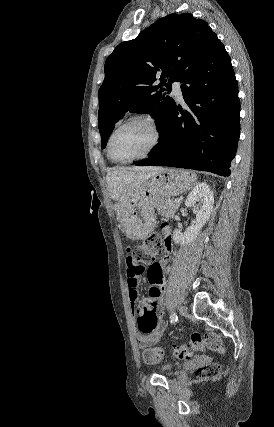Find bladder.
I'll list each match as a JSON object with an SVG mask.
<instances>
[{
  "label": "bladder",
  "mask_w": 274,
  "mask_h": 427,
  "mask_svg": "<svg viewBox=\"0 0 274 427\" xmlns=\"http://www.w3.org/2000/svg\"><path fill=\"white\" fill-rule=\"evenodd\" d=\"M173 369V365L171 363L162 364L160 366V371L163 375H169Z\"/></svg>",
  "instance_id": "bladder-1"
}]
</instances>
